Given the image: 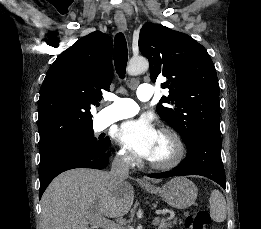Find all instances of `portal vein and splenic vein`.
<instances>
[{
	"label": "portal vein and splenic vein",
	"instance_id": "obj_1",
	"mask_svg": "<svg viewBox=\"0 0 261 229\" xmlns=\"http://www.w3.org/2000/svg\"><path fill=\"white\" fill-rule=\"evenodd\" d=\"M151 224L157 225V219L152 218ZM96 225L97 227H93V229H122L121 225H115V223H112L109 219H98V221H96Z\"/></svg>",
	"mask_w": 261,
	"mask_h": 229
}]
</instances>
